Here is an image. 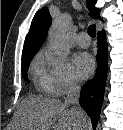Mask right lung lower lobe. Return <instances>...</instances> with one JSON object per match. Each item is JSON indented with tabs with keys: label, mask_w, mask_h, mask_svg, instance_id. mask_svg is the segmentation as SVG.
I'll use <instances>...</instances> for the list:
<instances>
[{
	"label": "right lung lower lobe",
	"mask_w": 123,
	"mask_h": 130,
	"mask_svg": "<svg viewBox=\"0 0 123 130\" xmlns=\"http://www.w3.org/2000/svg\"><path fill=\"white\" fill-rule=\"evenodd\" d=\"M107 41L105 32L98 33L97 72L94 79L83 85L79 102L91 118L93 128L96 127L101 105L103 102L104 88L107 75Z\"/></svg>",
	"instance_id": "right-lung-lower-lobe-1"
}]
</instances>
